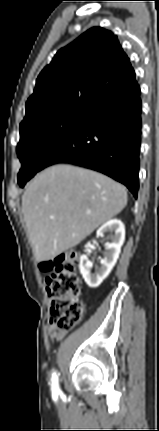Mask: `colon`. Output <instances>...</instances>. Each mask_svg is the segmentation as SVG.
<instances>
[{"instance_id":"obj_1","label":"colon","mask_w":159,"mask_h":431,"mask_svg":"<svg viewBox=\"0 0 159 431\" xmlns=\"http://www.w3.org/2000/svg\"><path fill=\"white\" fill-rule=\"evenodd\" d=\"M77 261L75 252H66L41 263V269L49 272L46 290L50 299L51 318L58 328L65 331L73 328L83 313L78 300L81 287Z\"/></svg>"}]
</instances>
